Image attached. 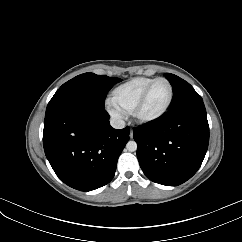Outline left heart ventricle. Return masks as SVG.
Masks as SVG:
<instances>
[{
	"mask_svg": "<svg viewBox=\"0 0 242 242\" xmlns=\"http://www.w3.org/2000/svg\"><path fill=\"white\" fill-rule=\"evenodd\" d=\"M169 93V86L165 81L156 82L140 110L141 115L153 116L160 112L168 101Z\"/></svg>",
	"mask_w": 242,
	"mask_h": 242,
	"instance_id": "b2bd125f",
	"label": "left heart ventricle"
}]
</instances>
